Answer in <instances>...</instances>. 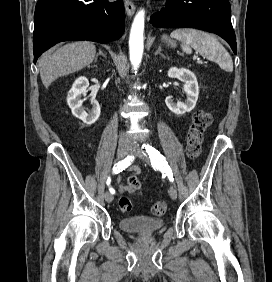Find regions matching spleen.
<instances>
[{
  "label": "spleen",
  "mask_w": 272,
  "mask_h": 282,
  "mask_svg": "<svg viewBox=\"0 0 272 282\" xmlns=\"http://www.w3.org/2000/svg\"><path fill=\"white\" fill-rule=\"evenodd\" d=\"M170 36L182 42L183 52L190 54L194 49L203 57L217 62L224 71H233L231 56L212 35L200 30L184 28L174 30Z\"/></svg>",
  "instance_id": "3e777b00"
}]
</instances>
